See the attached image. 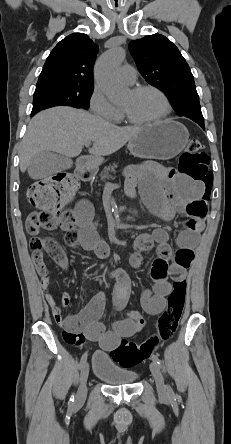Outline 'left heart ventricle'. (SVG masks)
<instances>
[{"label": "left heart ventricle", "instance_id": "obj_1", "mask_svg": "<svg viewBox=\"0 0 231 444\" xmlns=\"http://www.w3.org/2000/svg\"><path fill=\"white\" fill-rule=\"evenodd\" d=\"M132 118L138 121L152 120L159 117L165 110L162 98L153 91H144L139 94L129 92L121 103Z\"/></svg>", "mask_w": 231, "mask_h": 444}]
</instances>
